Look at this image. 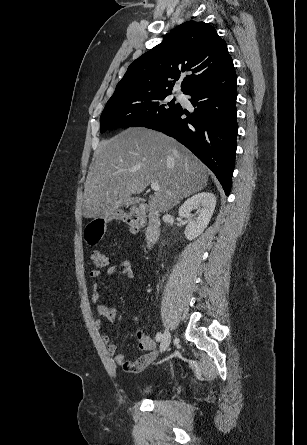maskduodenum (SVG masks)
<instances>
[{
    "label": "duodenum",
    "mask_w": 307,
    "mask_h": 445,
    "mask_svg": "<svg viewBox=\"0 0 307 445\" xmlns=\"http://www.w3.org/2000/svg\"><path fill=\"white\" fill-rule=\"evenodd\" d=\"M148 225L145 231V244L151 247L159 238L161 233L160 215L155 210H148Z\"/></svg>",
    "instance_id": "1"
}]
</instances>
